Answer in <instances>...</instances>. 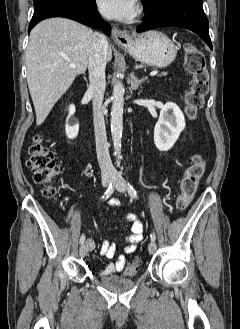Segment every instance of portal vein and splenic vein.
<instances>
[{
	"label": "portal vein and splenic vein",
	"mask_w": 240,
	"mask_h": 329,
	"mask_svg": "<svg viewBox=\"0 0 240 329\" xmlns=\"http://www.w3.org/2000/svg\"><path fill=\"white\" fill-rule=\"evenodd\" d=\"M71 68H76V65L74 63H70ZM158 75V70H154L150 73V76H156Z\"/></svg>",
	"instance_id": "18ae733b"
}]
</instances>
